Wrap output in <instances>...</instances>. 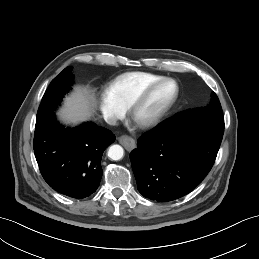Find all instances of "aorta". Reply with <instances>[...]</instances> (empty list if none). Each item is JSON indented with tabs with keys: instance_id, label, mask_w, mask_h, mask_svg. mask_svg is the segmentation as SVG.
I'll use <instances>...</instances> for the list:
<instances>
[{
	"instance_id": "aorta-1",
	"label": "aorta",
	"mask_w": 259,
	"mask_h": 259,
	"mask_svg": "<svg viewBox=\"0 0 259 259\" xmlns=\"http://www.w3.org/2000/svg\"><path fill=\"white\" fill-rule=\"evenodd\" d=\"M123 154L124 150L120 145H112L108 150V157L112 160H120Z\"/></svg>"
}]
</instances>
